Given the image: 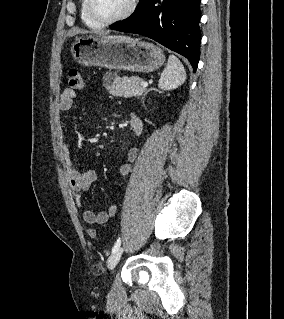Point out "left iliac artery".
<instances>
[{
	"label": "left iliac artery",
	"mask_w": 284,
	"mask_h": 319,
	"mask_svg": "<svg viewBox=\"0 0 284 319\" xmlns=\"http://www.w3.org/2000/svg\"><path fill=\"white\" fill-rule=\"evenodd\" d=\"M120 245H121V239L118 238L117 241L115 242L113 248H112V253H114L115 251H117V250L119 249Z\"/></svg>",
	"instance_id": "44dca946"
}]
</instances>
